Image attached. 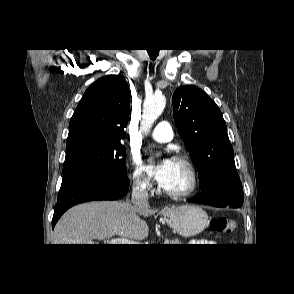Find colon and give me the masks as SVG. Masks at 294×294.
<instances>
[{
  "label": "colon",
  "mask_w": 294,
  "mask_h": 294,
  "mask_svg": "<svg viewBox=\"0 0 294 294\" xmlns=\"http://www.w3.org/2000/svg\"><path fill=\"white\" fill-rule=\"evenodd\" d=\"M236 226L237 224L234 220L224 217L214 218L210 222L211 230L220 234H230L235 230Z\"/></svg>",
  "instance_id": "5ec220e1"
}]
</instances>
